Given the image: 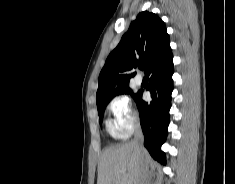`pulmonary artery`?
Instances as JSON below:
<instances>
[{
    "mask_svg": "<svg viewBox=\"0 0 235 184\" xmlns=\"http://www.w3.org/2000/svg\"><path fill=\"white\" fill-rule=\"evenodd\" d=\"M134 82L137 86H140L143 82L142 76L140 74H137L134 78Z\"/></svg>",
    "mask_w": 235,
    "mask_h": 184,
    "instance_id": "pulmonary-artery-1",
    "label": "pulmonary artery"
}]
</instances>
